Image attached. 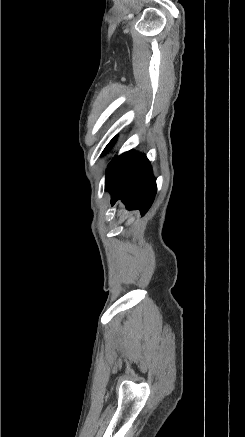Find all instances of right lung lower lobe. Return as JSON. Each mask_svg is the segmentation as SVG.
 Returning a JSON list of instances; mask_svg holds the SVG:
<instances>
[{"mask_svg":"<svg viewBox=\"0 0 245 437\" xmlns=\"http://www.w3.org/2000/svg\"><path fill=\"white\" fill-rule=\"evenodd\" d=\"M105 188L111 193V204L121 200L128 210L145 215L156 195V181L149 160L134 151L116 157L108 166Z\"/></svg>","mask_w":245,"mask_h":437,"instance_id":"right-lung-lower-lobe-1","label":"right lung lower lobe"}]
</instances>
